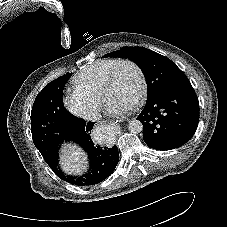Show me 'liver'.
Returning <instances> with one entry per match:
<instances>
[{
  "label": "liver",
  "instance_id": "liver-1",
  "mask_svg": "<svg viewBox=\"0 0 227 227\" xmlns=\"http://www.w3.org/2000/svg\"><path fill=\"white\" fill-rule=\"evenodd\" d=\"M61 166L68 174H81L86 169V156L75 146L63 149Z\"/></svg>",
  "mask_w": 227,
  "mask_h": 227
}]
</instances>
